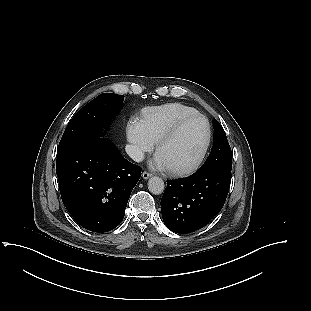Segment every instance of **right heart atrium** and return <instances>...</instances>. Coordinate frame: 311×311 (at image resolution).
Listing matches in <instances>:
<instances>
[{
  "mask_svg": "<svg viewBox=\"0 0 311 311\" xmlns=\"http://www.w3.org/2000/svg\"><path fill=\"white\" fill-rule=\"evenodd\" d=\"M126 136L130 143V153L135 159H141L154 147V142L146 134L141 121L137 118L132 117L127 122Z\"/></svg>",
  "mask_w": 311,
  "mask_h": 311,
  "instance_id": "obj_1",
  "label": "right heart atrium"
}]
</instances>
